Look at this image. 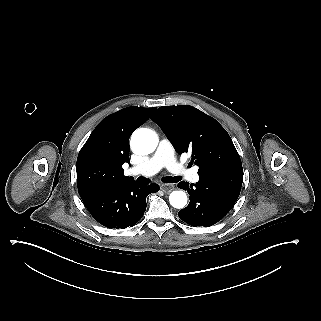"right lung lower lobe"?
<instances>
[{
  "label": "right lung lower lobe",
  "mask_w": 321,
  "mask_h": 321,
  "mask_svg": "<svg viewBox=\"0 0 321 321\" xmlns=\"http://www.w3.org/2000/svg\"><path fill=\"white\" fill-rule=\"evenodd\" d=\"M158 191L157 184L139 186L130 183L116 189L92 192L81 198L100 224L108 228L124 229L134 226L142 218L147 195Z\"/></svg>",
  "instance_id": "right-lung-lower-lobe-1"
}]
</instances>
